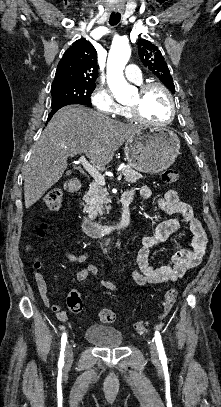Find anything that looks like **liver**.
Segmentation results:
<instances>
[{
  "instance_id": "6515ba94",
  "label": "liver",
  "mask_w": 221,
  "mask_h": 407,
  "mask_svg": "<svg viewBox=\"0 0 221 407\" xmlns=\"http://www.w3.org/2000/svg\"><path fill=\"white\" fill-rule=\"evenodd\" d=\"M139 128L87 107L71 105L61 108L33 146L25 166V207L30 208L60 180L70 156L83 153L95 165L104 167Z\"/></svg>"
}]
</instances>
